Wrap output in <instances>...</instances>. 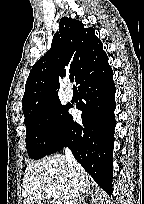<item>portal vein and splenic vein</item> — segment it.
Returning <instances> with one entry per match:
<instances>
[{
  "label": "portal vein and splenic vein",
  "mask_w": 144,
  "mask_h": 204,
  "mask_svg": "<svg viewBox=\"0 0 144 204\" xmlns=\"http://www.w3.org/2000/svg\"><path fill=\"white\" fill-rule=\"evenodd\" d=\"M45 191L52 198L56 199V198H58L60 196V191L56 187L46 186Z\"/></svg>",
  "instance_id": "portal-vein-and-splenic-vein-1"
}]
</instances>
